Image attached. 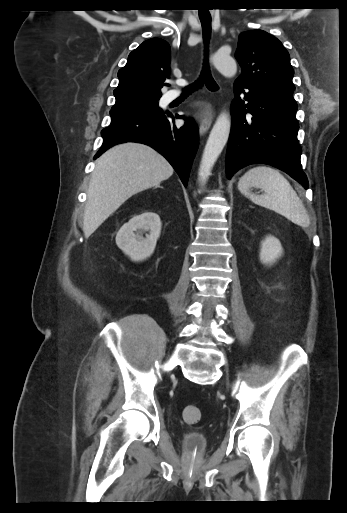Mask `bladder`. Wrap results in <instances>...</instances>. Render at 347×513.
<instances>
[{"mask_svg":"<svg viewBox=\"0 0 347 513\" xmlns=\"http://www.w3.org/2000/svg\"><path fill=\"white\" fill-rule=\"evenodd\" d=\"M208 440L198 432H186L183 436V447L190 453L202 454L206 451Z\"/></svg>","mask_w":347,"mask_h":513,"instance_id":"1","label":"bladder"}]
</instances>
